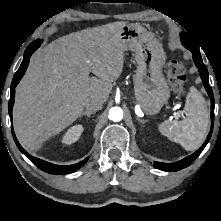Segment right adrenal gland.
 I'll return each mask as SVG.
<instances>
[{
	"instance_id": "2a0ac1e0",
	"label": "right adrenal gland",
	"mask_w": 221,
	"mask_h": 221,
	"mask_svg": "<svg viewBox=\"0 0 221 221\" xmlns=\"http://www.w3.org/2000/svg\"><path fill=\"white\" fill-rule=\"evenodd\" d=\"M94 113H95L94 111L86 110L79 117L82 118L83 116H87L89 118L91 114H94Z\"/></svg>"
}]
</instances>
